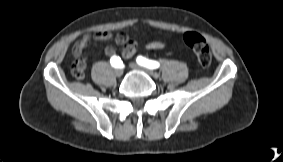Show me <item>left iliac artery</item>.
I'll return each mask as SVG.
<instances>
[{
  "label": "left iliac artery",
  "instance_id": "44dca946",
  "mask_svg": "<svg viewBox=\"0 0 283 162\" xmlns=\"http://www.w3.org/2000/svg\"><path fill=\"white\" fill-rule=\"evenodd\" d=\"M136 61L139 65L144 66L149 69H156L160 66V64L157 61L149 60L142 56H138Z\"/></svg>",
  "mask_w": 283,
  "mask_h": 162
}]
</instances>
